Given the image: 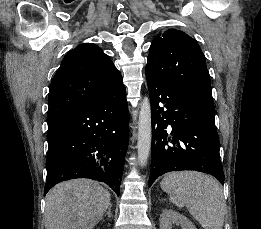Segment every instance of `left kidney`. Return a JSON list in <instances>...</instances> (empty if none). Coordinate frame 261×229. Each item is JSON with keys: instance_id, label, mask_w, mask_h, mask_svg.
<instances>
[{"instance_id": "5707ae66", "label": "left kidney", "mask_w": 261, "mask_h": 229, "mask_svg": "<svg viewBox=\"0 0 261 229\" xmlns=\"http://www.w3.org/2000/svg\"><path fill=\"white\" fill-rule=\"evenodd\" d=\"M173 225H181V229H196L195 225L187 217L172 211V209H166L160 215L159 229H172Z\"/></svg>"}]
</instances>
